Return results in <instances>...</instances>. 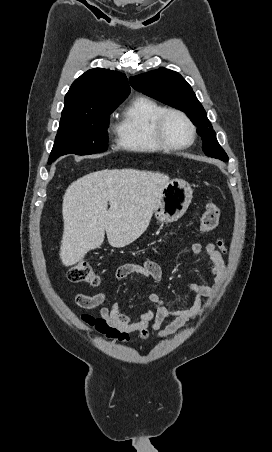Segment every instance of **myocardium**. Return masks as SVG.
I'll return each instance as SVG.
<instances>
[{"instance_id":"1","label":"myocardium","mask_w":272,"mask_h":452,"mask_svg":"<svg viewBox=\"0 0 272 452\" xmlns=\"http://www.w3.org/2000/svg\"><path fill=\"white\" fill-rule=\"evenodd\" d=\"M170 114H175L178 115L179 117H181L185 123L187 124L189 131H190V139L185 142V143H181V144H176L171 142L166 133H165V119L168 115ZM154 132H155V136L158 139V141L166 148V149H170V150H181V149H185L188 148L189 146H191L196 138V127L194 125V123L192 122V120L190 119V117L183 112L180 109L177 108H164L159 115L156 117L155 122H154Z\"/></svg>"}]
</instances>
